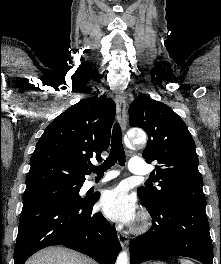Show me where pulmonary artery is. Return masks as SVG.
I'll list each match as a JSON object with an SVG mask.
<instances>
[{
	"label": "pulmonary artery",
	"mask_w": 221,
	"mask_h": 264,
	"mask_svg": "<svg viewBox=\"0 0 221 264\" xmlns=\"http://www.w3.org/2000/svg\"><path fill=\"white\" fill-rule=\"evenodd\" d=\"M129 170L131 173L136 174V175H146L147 174L145 162L143 161V159L139 157L131 158L129 162ZM118 174L119 173L117 171H108L98 180L92 179V180L87 181L85 183V188L89 189V188L101 185L103 183H106L114 179L115 177H117Z\"/></svg>",
	"instance_id": "pulmonary-artery-1"
}]
</instances>
